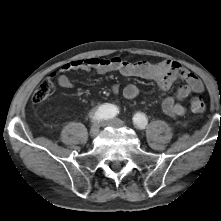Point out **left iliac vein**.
Instances as JSON below:
<instances>
[{
	"mask_svg": "<svg viewBox=\"0 0 221 221\" xmlns=\"http://www.w3.org/2000/svg\"><path fill=\"white\" fill-rule=\"evenodd\" d=\"M103 125L111 126L114 128H120V127H124L125 123L120 119L114 118V119L104 122Z\"/></svg>",
	"mask_w": 221,
	"mask_h": 221,
	"instance_id": "1",
	"label": "left iliac vein"
}]
</instances>
